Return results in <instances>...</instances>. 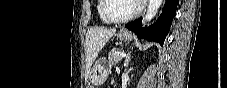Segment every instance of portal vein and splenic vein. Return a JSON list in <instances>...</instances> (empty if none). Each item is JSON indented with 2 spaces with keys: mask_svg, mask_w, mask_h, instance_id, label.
Listing matches in <instances>:
<instances>
[{
  "mask_svg": "<svg viewBox=\"0 0 227 88\" xmlns=\"http://www.w3.org/2000/svg\"><path fill=\"white\" fill-rule=\"evenodd\" d=\"M120 56L123 58V57H125V56H126V53L121 52V53H120Z\"/></svg>",
  "mask_w": 227,
  "mask_h": 88,
  "instance_id": "18ae733b",
  "label": "portal vein and splenic vein"
}]
</instances>
